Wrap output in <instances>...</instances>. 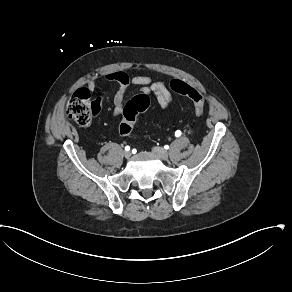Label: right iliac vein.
<instances>
[{
	"instance_id": "right-iliac-vein-1",
	"label": "right iliac vein",
	"mask_w": 292,
	"mask_h": 292,
	"mask_svg": "<svg viewBox=\"0 0 292 292\" xmlns=\"http://www.w3.org/2000/svg\"><path fill=\"white\" fill-rule=\"evenodd\" d=\"M130 156H131V152H130V151H125V152H124V157H125L126 159L130 158Z\"/></svg>"
}]
</instances>
